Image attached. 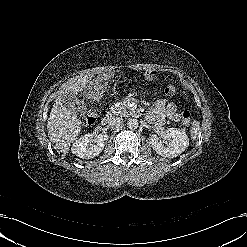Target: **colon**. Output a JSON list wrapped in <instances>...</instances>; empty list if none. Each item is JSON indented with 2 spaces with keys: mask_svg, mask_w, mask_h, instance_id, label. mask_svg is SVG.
<instances>
[{
  "mask_svg": "<svg viewBox=\"0 0 247 247\" xmlns=\"http://www.w3.org/2000/svg\"><path fill=\"white\" fill-rule=\"evenodd\" d=\"M164 93L170 97L174 96L177 93L175 84H168L164 89ZM98 114L96 109H90L84 114L83 120L86 124H91L96 120ZM179 118L184 124H189L191 122V113L188 110H182L179 114Z\"/></svg>",
  "mask_w": 247,
  "mask_h": 247,
  "instance_id": "1",
  "label": "colon"
}]
</instances>
